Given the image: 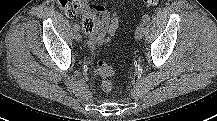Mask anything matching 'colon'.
I'll use <instances>...</instances> for the list:
<instances>
[{
  "label": "colon",
  "instance_id": "5ec220e1",
  "mask_svg": "<svg viewBox=\"0 0 217 121\" xmlns=\"http://www.w3.org/2000/svg\"><path fill=\"white\" fill-rule=\"evenodd\" d=\"M145 6H153L159 0H143ZM59 8L69 16L82 14L83 30L89 34H102L106 30L108 23V14L102 0H57ZM110 38L105 39V43L109 44ZM97 70L102 78L101 88L105 92L113 89V82L110 77L113 75V68L104 59L97 61Z\"/></svg>",
  "mask_w": 217,
  "mask_h": 121
}]
</instances>
